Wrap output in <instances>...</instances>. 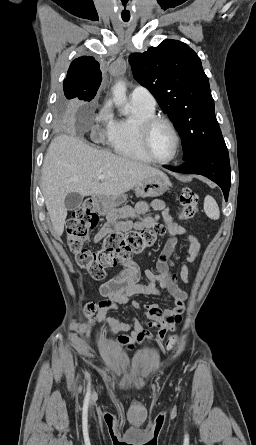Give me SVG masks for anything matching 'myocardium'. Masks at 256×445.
Masks as SVG:
<instances>
[{"instance_id":"1","label":"myocardium","mask_w":256,"mask_h":445,"mask_svg":"<svg viewBox=\"0 0 256 445\" xmlns=\"http://www.w3.org/2000/svg\"><path fill=\"white\" fill-rule=\"evenodd\" d=\"M158 124H165L166 126H168L169 129L172 131L174 138H175V151H174V154L169 159L163 160V159L157 158L154 155L152 148H151V143H150L151 133H152V130L154 129V127ZM138 134H139L141 147L151 161L158 163V164L165 165V164L172 163L179 156L180 150H181V137H180V134H179L176 126L174 125V123L171 120H169L168 118L161 117V116H153V117H150V118L140 121L138 123Z\"/></svg>"}]
</instances>
